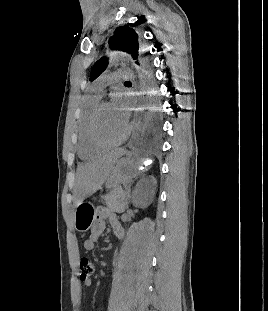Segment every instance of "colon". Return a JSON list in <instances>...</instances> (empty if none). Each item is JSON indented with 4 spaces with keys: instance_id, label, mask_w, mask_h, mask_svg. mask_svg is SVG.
<instances>
[{
    "instance_id": "obj_1",
    "label": "colon",
    "mask_w": 268,
    "mask_h": 311,
    "mask_svg": "<svg viewBox=\"0 0 268 311\" xmlns=\"http://www.w3.org/2000/svg\"><path fill=\"white\" fill-rule=\"evenodd\" d=\"M93 272H94L93 263L87 258H82L80 260V277H81V279L90 278L91 275L93 274Z\"/></svg>"
}]
</instances>
